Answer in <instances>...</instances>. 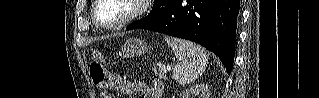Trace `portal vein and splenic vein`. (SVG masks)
<instances>
[{"label":"portal vein and splenic vein","mask_w":319,"mask_h":98,"mask_svg":"<svg viewBox=\"0 0 319 98\" xmlns=\"http://www.w3.org/2000/svg\"><path fill=\"white\" fill-rule=\"evenodd\" d=\"M159 67H161V69H162L163 71H167V70H170V69H171L170 66L159 65Z\"/></svg>","instance_id":"1"}]
</instances>
